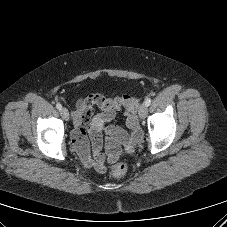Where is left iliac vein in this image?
Returning <instances> with one entry per match:
<instances>
[{
    "label": "left iliac vein",
    "mask_w": 227,
    "mask_h": 227,
    "mask_svg": "<svg viewBox=\"0 0 227 227\" xmlns=\"http://www.w3.org/2000/svg\"><path fill=\"white\" fill-rule=\"evenodd\" d=\"M147 112H148V109H147V106L145 105V103L141 104L139 107V110H138L139 117L141 119L146 118Z\"/></svg>",
    "instance_id": "left-iliac-vein-1"
}]
</instances>
